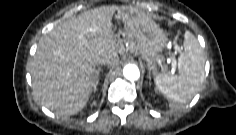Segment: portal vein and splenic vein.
Returning <instances> with one entry per match:
<instances>
[{
	"mask_svg": "<svg viewBox=\"0 0 236 135\" xmlns=\"http://www.w3.org/2000/svg\"><path fill=\"white\" fill-rule=\"evenodd\" d=\"M175 50L177 51H180L179 47L176 45L175 46ZM171 65H172V72H175V69H176V60H175V57L172 55L171 56Z\"/></svg>",
	"mask_w": 236,
	"mask_h": 135,
	"instance_id": "18ae733b",
	"label": "portal vein and splenic vein"
}]
</instances>
